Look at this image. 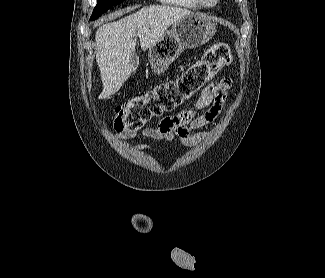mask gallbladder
<instances>
[{
	"instance_id": "bac80fb5",
	"label": "gallbladder",
	"mask_w": 325,
	"mask_h": 278,
	"mask_svg": "<svg viewBox=\"0 0 325 278\" xmlns=\"http://www.w3.org/2000/svg\"><path fill=\"white\" fill-rule=\"evenodd\" d=\"M131 64L133 66V73L136 71L137 67H138V64H139V60H138V57L136 54H134L132 57H131Z\"/></svg>"
}]
</instances>
